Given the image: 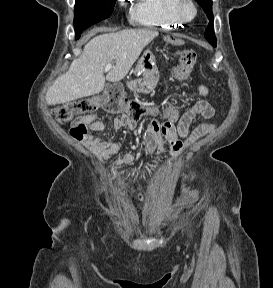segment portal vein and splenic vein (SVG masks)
Segmentation results:
<instances>
[{"instance_id": "obj_1", "label": "portal vein and splenic vein", "mask_w": 273, "mask_h": 288, "mask_svg": "<svg viewBox=\"0 0 273 288\" xmlns=\"http://www.w3.org/2000/svg\"><path fill=\"white\" fill-rule=\"evenodd\" d=\"M112 67H113V63H109L104 67V71H109L112 69Z\"/></svg>"}]
</instances>
